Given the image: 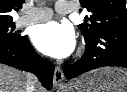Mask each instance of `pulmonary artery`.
Masks as SVG:
<instances>
[{
	"mask_svg": "<svg viewBox=\"0 0 127 92\" xmlns=\"http://www.w3.org/2000/svg\"><path fill=\"white\" fill-rule=\"evenodd\" d=\"M55 10L59 14H68L72 7L64 1H57ZM52 17V10L45 7L26 9L25 15L19 17L16 21L18 27H25L35 23L43 22Z\"/></svg>",
	"mask_w": 127,
	"mask_h": 92,
	"instance_id": "obj_1",
	"label": "pulmonary artery"
}]
</instances>
